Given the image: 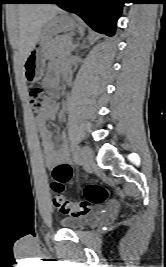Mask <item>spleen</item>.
Segmentation results:
<instances>
[{
	"label": "spleen",
	"instance_id": "3e777b00",
	"mask_svg": "<svg viewBox=\"0 0 166 267\" xmlns=\"http://www.w3.org/2000/svg\"><path fill=\"white\" fill-rule=\"evenodd\" d=\"M83 31H84L83 29H80V33H81L82 35H83Z\"/></svg>",
	"mask_w": 166,
	"mask_h": 267
}]
</instances>
